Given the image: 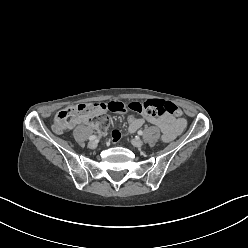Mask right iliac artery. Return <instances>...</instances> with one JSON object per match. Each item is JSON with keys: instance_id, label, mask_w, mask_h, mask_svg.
Listing matches in <instances>:
<instances>
[{"instance_id": "obj_1", "label": "right iliac artery", "mask_w": 248, "mask_h": 248, "mask_svg": "<svg viewBox=\"0 0 248 248\" xmlns=\"http://www.w3.org/2000/svg\"><path fill=\"white\" fill-rule=\"evenodd\" d=\"M95 139H97V136H95V135H92L89 137V140H95Z\"/></svg>"}]
</instances>
